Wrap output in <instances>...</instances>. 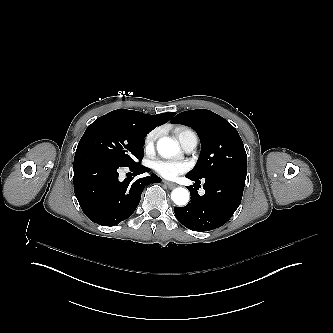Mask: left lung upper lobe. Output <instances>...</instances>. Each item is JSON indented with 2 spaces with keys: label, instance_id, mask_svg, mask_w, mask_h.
Wrapping results in <instances>:
<instances>
[{
  "label": "left lung upper lobe",
  "instance_id": "5c2ea615",
  "mask_svg": "<svg viewBox=\"0 0 333 333\" xmlns=\"http://www.w3.org/2000/svg\"><path fill=\"white\" fill-rule=\"evenodd\" d=\"M172 123L192 127L201 141V153L195 167L187 174L208 181L223 172L247 174V155L237 130L210 110L196 109L176 115Z\"/></svg>",
  "mask_w": 333,
  "mask_h": 333
}]
</instances>
